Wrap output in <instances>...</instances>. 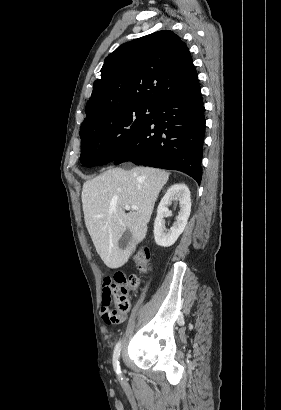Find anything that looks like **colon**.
<instances>
[{
  "label": "colon",
  "mask_w": 281,
  "mask_h": 410,
  "mask_svg": "<svg viewBox=\"0 0 281 410\" xmlns=\"http://www.w3.org/2000/svg\"><path fill=\"white\" fill-rule=\"evenodd\" d=\"M150 250L142 246L135 255V261L143 271L149 269ZM139 286V279L135 275H125L118 272L114 275L110 285V301L113 300L114 308L105 315V321L109 324L120 322L121 316L131 308L130 295L135 293Z\"/></svg>",
  "instance_id": "1"
}]
</instances>
